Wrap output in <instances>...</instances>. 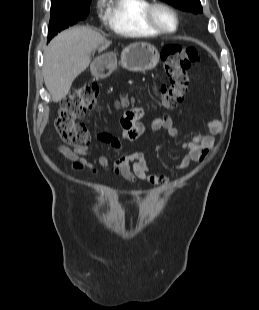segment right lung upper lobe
<instances>
[{"instance_id": "1", "label": "right lung upper lobe", "mask_w": 259, "mask_h": 310, "mask_svg": "<svg viewBox=\"0 0 259 310\" xmlns=\"http://www.w3.org/2000/svg\"><path fill=\"white\" fill-rule=\"evenodd\" d=\"M88 0H52L51 8L61 7V6H68V5H76L82 4Z\"/></svg>"}]
</instances>
